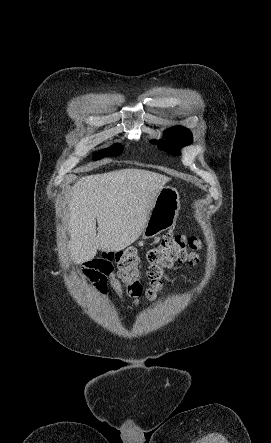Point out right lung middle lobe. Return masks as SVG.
Here are the masks:
<instances>
[{"mask_svg": "<svg viewBox=\"0 0 271 443\" xmlns=\"http://www.w3.org/2000/svg\"><path fill=\"white\" fill-rule=\"evenodd\" d=\"M123 151V147L121 144H114L108 149L99 151L98 153H95L94 160L101 159L103 157H113L119 155Z\"/></svg>", "mask_w": 271, "mask_h": 443, "instance_id": "dd1d6c3e", "label": "right lung middle lobe"}]
</instances>
